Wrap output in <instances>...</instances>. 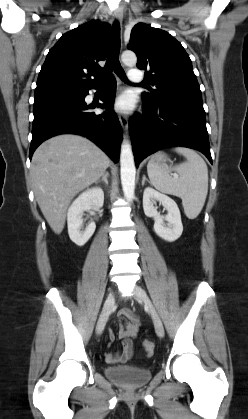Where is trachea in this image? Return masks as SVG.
Returning <instances> with one entry per match:
<instances>
[{
  "instance_id": "1",
  "label": "trachea",
  "mask_w": 248,
  "mask_h": 419,
  "mask_svg": "<svg viewBox=\"0 0 248 419\" xmlns=\"http://www.w3.org/2000/svg\"><path fill=\"white\" fill-rule=\"evenodd\" d=\"M119 52H120V27H119L118 22H114L109 54H108V58H107L103 73L104 75L107 76L114 70V72L117 74V76L121 80H123L124 82H128L126 74L119 62Z\"/></svg>"
}]
</instances>
